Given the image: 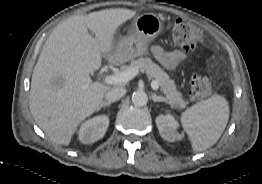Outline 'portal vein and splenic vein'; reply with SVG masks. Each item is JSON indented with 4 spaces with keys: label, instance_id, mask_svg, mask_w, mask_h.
Masks as SVG:
<instances>
[{
    "label": "portal vein and splenic vein",
    "instance_id": "1",
    "mask_svg": "<svg viewBox=\"0 0 262 184\" xmlns=\"http://www.w3.org/2000/svg\"><path fill=\"white\" fill-rule=\"evenodd\" d=\"M139 70L136 68H128L122 72L114 75H109L104 78V82L107 84H122L126 83L138 74ZM151 87L153 90H158L159 84L157 81L153 80L151 82Z\"/></svg>",
    "mask_w": 262,
    "mask_h": 184
}]
</instances>
